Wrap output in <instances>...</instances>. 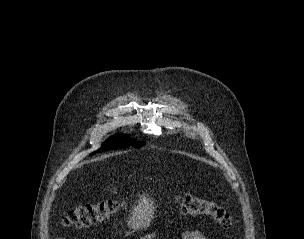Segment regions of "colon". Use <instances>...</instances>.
I'll use <instances>...</instances> for the list:
<instances>
[{
  "instance_id": "colon-1",
  "label": "colon",
  "mask_w": 304,
  "mask_h": 239,
  "mask_svg": "<svg viewBox=\"0 0 304 239\" xmlns=\"http://www.w3.org/2000/svg\"><path fill=\"white\" fill-rule=\"evenodd\" d=\"M177 199L181 213L207 216L224 229L231 226L229 213L214 200L191 194H182ZM120 208L121 202L116 199H104L81 204L64 216L62 225L75 229L86 228L110 219Z\"/></svg>"
}]
</instances>
